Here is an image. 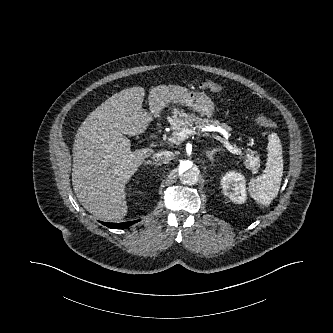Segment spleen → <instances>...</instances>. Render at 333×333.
Listing matches in <instances>:
<instances>
[{"instance_id":"3e777b00","label":"spleen","mask_w":333,"mask_h":333,"mask_svg":"<svg viewBox=\"0 0 333 333\" xmlns=\"http://www.w3.org/2000/svg\"><path fill=\"white\" fill-rule=\"evenodd\" d=\"M268 158L264 173L249 182L251 196L261 205L267 206L277 196L283 176V156L280 139L269 136Z\"/></svg>"}]
</instances>
